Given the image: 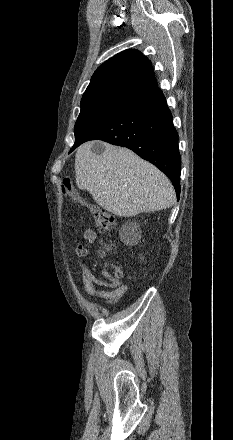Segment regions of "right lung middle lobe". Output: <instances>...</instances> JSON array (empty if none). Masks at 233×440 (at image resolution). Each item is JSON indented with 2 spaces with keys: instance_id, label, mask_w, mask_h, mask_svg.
Segmentation results:
<instances>
[{
  "instance_id": "dd1d6c3e",
  "label": "right lung middle lobe",
  "mask_w": 233,
  "mask_h": 440,
  "mask_svg": "<svg viewBox=\"0 0 233 440\" xmlns=\"http://www.w3.org/2000/svg\"><path fill=\"white\" fill-rule=\"evenodd\" d=\"M126 103L98 100L81 102V112L75 124V144L102 126L113 115L120 111Z\"/></svg>"
}]
</instances>
